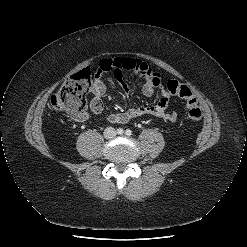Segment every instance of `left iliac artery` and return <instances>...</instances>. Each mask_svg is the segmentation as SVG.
Instances as JSON below:
<instances>
[{
  "label": "left iliac artery",
  "mask_w": 247,
  "mask_h": 247,
  "mask_svg": "<svg viewBox=\"0 0 247 247\" xmlns=\"http://www.w3.org/2000/svg\"><path fill=\"white\" fill-rule=\"evenodd\" d=\"M125 134H126L127 136H131V135H132V131H131L130 129H127V130L125 131Z\"/></svg>",
  "instance_id": "44dca946"
}]
</instances>
